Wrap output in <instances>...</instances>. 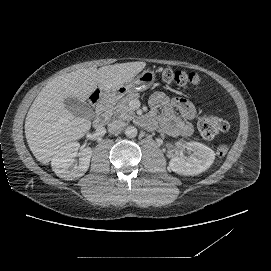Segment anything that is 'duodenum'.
<instances>
[{
  "label": "duodenum",
  "mask_w": 271,
  "mask_h": 271,
  "mask_svg": "<svg viewBox=\"0 0 271 271\" xmlns=\"http://www.w3.org/2000/svg\"><path fill=\"white\" fill-rule=\"evenodd\" d=\"M113 99L114 96L112 94H103L98 99L95 119L96 127L103 126L110 120Z\"/></svg>",
  "instance_id": "duodenum-1"
}]
</instances>
